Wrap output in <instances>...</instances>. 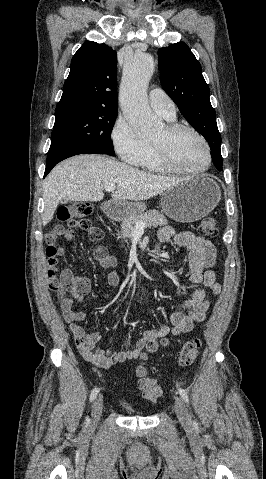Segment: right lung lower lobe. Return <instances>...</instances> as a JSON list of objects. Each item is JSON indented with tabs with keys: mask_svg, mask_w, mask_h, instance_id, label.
Listing matches in <instances>:
<instances>
[{
	"mask_svg": "<svg viewBox=\"0 0 266 479\" xmlns=\"http://www.w3.org/2000/svg\"><path fill=\"white\" fill-rule=\"evenodd\" d=\"M105 154L102 151L94 150V149H87V148H79L71 145L65 144H53L50 146L47 162H46V169L44 173V177L51 171V169L60 161L74 156L78 154Z\"/></svg>",
	"mask_w": 266,
	"mask_h": 479,
	"instance_id": "1",
	"label": "right lung lower lobe"
}]
</instances>
